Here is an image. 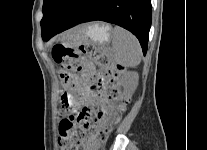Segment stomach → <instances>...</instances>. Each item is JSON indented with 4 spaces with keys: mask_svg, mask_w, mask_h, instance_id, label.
Wrapping results in <instances>:
<instances>
[{
    "mask_svg": "<svg viewBox=\"0 0 207 150\" xmlns=\"http://www.w3.org/2000/svg\"><path fill=\"white\" fill-rule=\"evenodd\" d=\"M111 26L103 22L87 24L81 29L66 34V41L70 44H79L90 40L96 44L107 43L110 39Z\"/></svg>",
    "mask_w": 207,
    "mask_h": 150,
    "instance_id": "obj_1",
    "label": "stomach"
}]
</instances>
